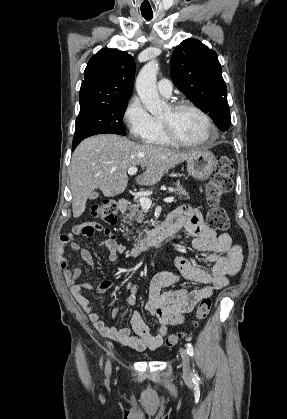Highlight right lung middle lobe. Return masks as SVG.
Here are the masks:
<instances>
[{
    "label": "right lung middle lobe",
    "mask_w": 287,
    "mask_h": 419,
    "mask_svg": "<svg viewBox=\"0 0 287 419\" xmlns=\"http://www.w3.org/2000/svg\"><path fill=\"white\" fill-rule=\"evenodd\" d=\"M128 101L99 105L79 112L76 119L72 149L86 137L112 133L126 135L123 116Z\"/></svg>",
    "instance_id": "dd1d6c3e"
}]
</instances>
